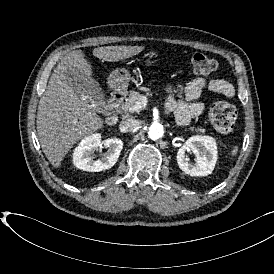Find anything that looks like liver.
Returning a JSON list of instances; mask_svg holds the SVG:
<instances>
[{
	"instance_id": "1",
	"label": "liver",
	"mask_w": 274,
	"mask_h": 274,
	"mask_svg": "<svg viewBox=\"0 0 274 274\" xmlns=\"http://www.w3.org/2000/svg\"><path fill=\"white\" fill-rule=\"evenodd\" d=\"M144 46H104L93 49L103 61H119L139 54ZM91 66L81 50L69 52L52 73L37 111V132L43 153L58 168L75 143L103 127V119L79 97L73 82L91 77Z\"/></svg>"
}]
</instances>
